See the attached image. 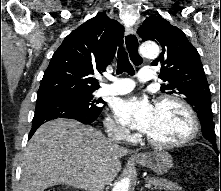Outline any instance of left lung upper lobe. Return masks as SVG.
Segmentation results:
<instances>
[{
	"instance_id": "1",
	"label": "left lung upper lobe",
	"mask_w": 221,
	"mask_h": 191,
	"mask_svg": "<svg viewBox=\"0 0 221 191\" xmlns=\"http://www.w3.org/2000/svg\"><path fill=\"white\" fill-rule=\"evenodd\" d=\"M137 33L143 41L153 40L162 48L160 56L152 62L153 66H161L159 77L166 82L161 86V91L179 95L193 107L204 138L217 149L219 141L214 131L209 85L196 48L182 30L161 16L146 18Z\"/></svg>"
}]
</instances>
